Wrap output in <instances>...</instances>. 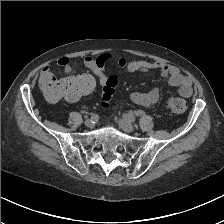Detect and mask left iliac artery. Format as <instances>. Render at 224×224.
<instances>
[{
	"mask_svg": "<svg viewBox=\"0 0 224 224\" xmlns=\"http://www.w3.org/2000/svg\"><path fill=\"white\" fill-rule=\"evenodd\" d=\"M123 117H124L126 120L130 121V122H134V121H135V117H134L132 114H130V113H126V114H124Z\"/></svg>",
	"mask_w": 224,
	"mask_h": 224,
	"instance_id": "obj_1",
	"label": "left iliac artery"
}]
</instances>
